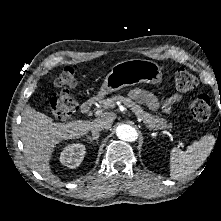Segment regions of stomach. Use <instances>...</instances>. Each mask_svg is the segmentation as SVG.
Segmentation results:
<instances>
[{
    "label": "stomach",
    "mask_w": 221,
    "mask_h": 221,
    "mask_svg": "<svg viewBox=\"0 0 221 221\" xmlns=\"http://www.w3.org/2000/svg\"><path fill=\"white\" fill-rule=\"evenodd\" d=\"M162 80L161 68L157 63L145 59H130L112 67L98 92V99L126 86L140 83L158 84Z\"/></svg>",
    "instance_id": "stomach-1"
}]
</instances>
